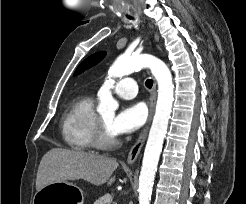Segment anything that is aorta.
Segmentation results:
<instances>
[{
    "label": "aorta",
    "instance_id": "1",
    "mask_svg": "<svg viewBox=\"0 0 246 204\" xmlns=\"http://www.w3.org/2000/svg\"><path fill=\"white\" fill-rule=\"evenodd\" d=\"M149 68L158 84L156 111L144 151L139 176V204H150L152 188L159 157L166 137L168 122L174 101V85L168 66L160 59L149 54L119 56L109 69V78H121L138 68ZM113 81L111 82V84ZM111 85L105 84L99 91L97 112L103 117H114L119 104L110 91Z\"/></svg>",
    "mask_w": 246,
    "mask_h": 204
}]
</instances>
